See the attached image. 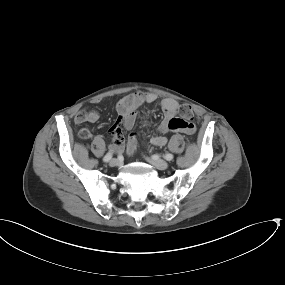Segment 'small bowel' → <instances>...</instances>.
Here are the masks:
<instances>
[{"instance_id":"obj_1","label":"small bowel","mask_w":285,"mask_h":285,"mask_svg":"<svg viewBox=\"0 0 285 285\" xmlns=\"http://www.w3.org/2000/svg\"><path fill=\"white\" fill-rule=\"evenodd\" d=\"M158 96L155 93H145L137 91L130 93L122 97L116 105L117 116L111 127L113 135L112 147L117 152L124 149L123 143V130H130L134 127L137 110L144 104H153L157 101ZM159 107L163 112V120L161 121L158 131L161 133L151 139V142L156 146H164L167 143V138L164 134L169 132H186L185 127L189 122L184 121L177 115L179 113L180 105L178 101L173 98L163 99ZM100 119V113L95 109L78 111L74 116V122L76 124H82L85 122L95 123ZM81 139H87L91 137V132L87 128H83L79 132ZM137 147V138L133 133L128 137L126 151L129 155H132Z\"/></svg>"}]
</instances>
